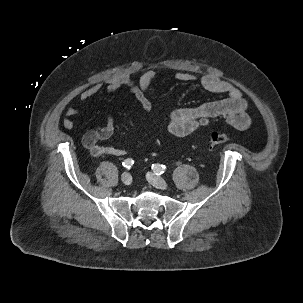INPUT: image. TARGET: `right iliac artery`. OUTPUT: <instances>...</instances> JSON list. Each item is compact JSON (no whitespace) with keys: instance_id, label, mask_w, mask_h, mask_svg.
Here are the masks:
<instances>
[{"instance_id":"right-iliac-artery-1","label":"right iliac artery","mask_w":303,"mask_h":303,"mask_svg":"<svg viewBox=\"0 0 303 303\" xmlns=\"http://www.w3.org/2000/svg\"><path fill=\"white\" fill-rule=\"evenodd\" d=\"M133 164H134V160L131 159V158H128V159H126V160H124V161L122 162V166L125 167V168H128V169H129Z\"/></svg>"}]
</instances>
